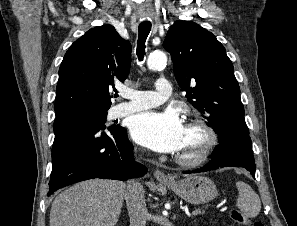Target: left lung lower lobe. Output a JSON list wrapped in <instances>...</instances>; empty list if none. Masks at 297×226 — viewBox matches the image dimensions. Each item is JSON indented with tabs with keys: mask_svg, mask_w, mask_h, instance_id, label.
<instances>
[{
	"mask_svg": "<svg viewBox=\"0 0 297 226\" xmlns=\"http://www.w3.org/2000/svg\"><path fill=\"white\" fill-rule=\"evenodd\" d=\"M213 150V159L204 167L183 173L211 171L223 167H243L255 178L256 165L252 151L251 138L245 140L226 139Z\"/></svg>",
	"mask_w": 297,
	"mask_h": 226,
	"instance_id": "0a47b994",
	"label": "left lung lower lobe"
}]
</instances>
